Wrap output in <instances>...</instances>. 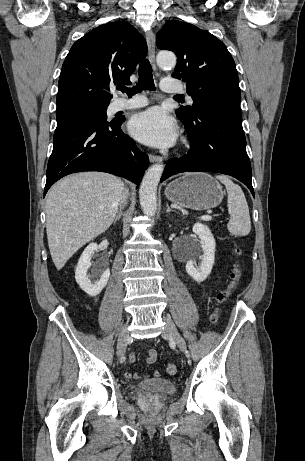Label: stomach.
<instances>
[{
  "label": "stomach",
  "instance_id": "0dacf381",
  "mask_svg": "<svg viewBox=\"0 0 305 461\" xmlns=\"http://www.w3.org/2000/svg\"><path fill=\"white\" fill-rule=\"evenodd\" d=\"M166 198L182 207L209 210L218 206L224 197L222 186L207 173H186L165 188Z\"/></svg>",
  "mask_w": 305,
  "mask_h": 461
}]
</instances>
